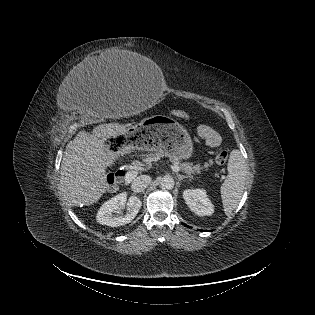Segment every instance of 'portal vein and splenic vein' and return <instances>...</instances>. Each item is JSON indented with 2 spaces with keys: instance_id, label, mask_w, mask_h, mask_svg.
Listing matches in <instances>:
<instances>
[{
  "instance_id": "18ae733b",
  "label": "portal vein and splenic vein",
  "mask_w": 315,
  "mask_h": 315,
  "mask_svg": "<svg viewBox=\"0 0 315 315\" xmlns=\"http://www.w3.org/2000/svg\"><path fill=\"white\" fill-rule=\"evenodd\" d=\"M172 170L174 171V172H179L180 171V169H179V167L178 166H175V165H173L172 167ZM137 171L136 170H131V171H128L127 173H126V175H125V181H131L132 179H134L136 176H137Z\"/></svg>"
}]
</instances>
